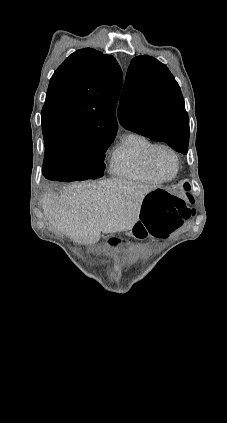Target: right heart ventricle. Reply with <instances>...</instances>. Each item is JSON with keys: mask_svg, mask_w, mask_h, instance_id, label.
Returning a JSON list of instances; mask_svg holds the SVG:
<instances>
[{"mask_svg": "<svg viewBox=\"0 0 227 423\" xmlns=\"http://www.w3.org/2000/svg\"><path fill=\"white\" fill-rule=\"evenodd\" d=\"M154 143L144 134L125 133L111 155V173L145 184L161 183L147 168L146 154Z\"/></svg>", "mask_w": 227, "mask_h": 423, "instance_id": "1", "label": "right heart ventricle"}]
</instances>
